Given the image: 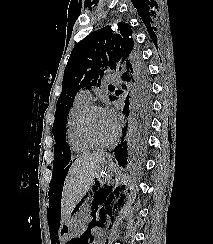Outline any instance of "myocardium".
Instances as JSON below:
<instances>
[{
	"label": "myocardium",
	"mask_w": 213,
	"mask_h": 244,
	"mask_svg": "<svg viewBox=\"0 0 213 244\" xmlns=\"http://www.w3.org/2000/svg\"><path fill=\"white\" fill-rule=\"evenodd\" d=\"M94 110H103V108L98 104L91 103L90 106L85 110L83 117H82V121H81L82 134H83L84 138L88 142L93 144L94 146H97V147L109 146V145L113 144L118 137V134H119L118 126H117V124H115L114 133L111 138H109L108 140H105V141L98 140L91 133L90 126H89V118H90L91 113Z\"/></svg>",
	"instance_id": "1"
}]
</instances>
